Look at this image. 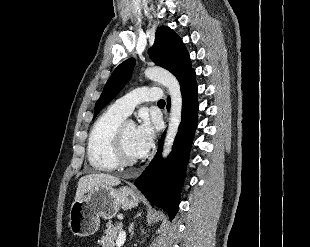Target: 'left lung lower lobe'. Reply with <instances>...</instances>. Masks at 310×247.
Here are the masks:
<instances>
[{
	"label": "left lung lower lobe",
	"mask_w": 310,
	"mask_h": 247,
	"mask_svg": "<svg viewBox=\"0 0 310 247\" xmlns=\"http://www.w3.org/2000/svg\"><path fill=\"white\" fill-rule=\"evenodd\" d=\"M179 83L183 99L182 121L172 152L166 160H162L161 148L164 137L162 136L155 158L135 181L136 187L150 202L168 212L170 220L174 218L178 210L180 191L185 179L189 152L198 123V92L195 71H190ZM167 107L170 108L169 98Z\"/></svg>",
	"instance_id": "1"
}]
</instances>
